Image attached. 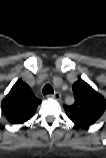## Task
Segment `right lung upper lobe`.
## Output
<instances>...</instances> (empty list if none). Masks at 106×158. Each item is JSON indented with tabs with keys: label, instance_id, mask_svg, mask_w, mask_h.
Instances as JSON below:
<instances>
[{
	"label": "right lung upper lobe",
	"instance_id": "obj_1",
	"mask_svg": "<svg viewBox=\"0 0 106 158\" xmlns=\"http://www.w3.org/2000/svg\"><path fill=\"white\" fill-rule=\"evenodd\" d=\"M41 103L31 88L19 79L1 102V111L12 124H22L32 118Z\"/></svg>",
	"mask_w": 106,
	"mask_h": 158
}]
</instances>
